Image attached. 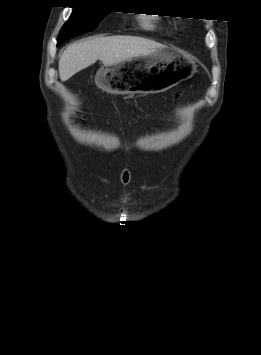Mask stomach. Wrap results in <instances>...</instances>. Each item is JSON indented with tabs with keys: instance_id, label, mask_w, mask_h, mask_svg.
I'll return each mask as SVG.
<instances>
[{
	"instance_id": "stomach-1",
	"label": "stomach",
	"mask_w": 261,
	"mask_h": 355,
	"mask_svg": "<svg viewBox=\"0 0 261 355\" xmlns=\"http://www.w3.org/2000/svg\"><path fill=\"white\" fill-rule=\"evenodd\" d=\"M194 60L181 50L163 46L99 69L97 86L111 94H153L168 90L196 72Z\"/></svg>"
}]
</instances>
